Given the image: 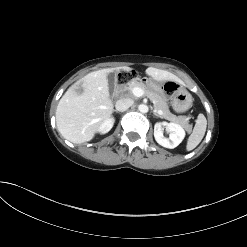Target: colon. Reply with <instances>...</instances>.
Instances as JSON below:
<instances>
[{
    "instance_id": "colon-1",
    "label": "colon",
    "mask_w": 247,
    "mask_h": 247,
    "mask_svg": "<svg viewBox=\"0 0 247 247\" xmlns=\"http://www.w3.org/2000/svg\"><path fill=\"white\" fill-rule=\"evenodd\" d=\"M129 79H130V74L125 71H121L117 77V81L119 84H125L126 82L129 81Z\"/></svg>"
}]
</instances>
